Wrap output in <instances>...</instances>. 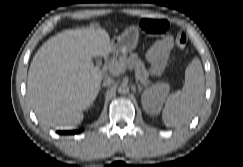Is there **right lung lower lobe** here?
Segmentation results:
<instances>
[{"label": "right lung lower lobe", "mask_w": 243, "mask_h": 167, "mask_svg": "<svg viewBox=\"0 0 243 167\" xmlns=\"http://www.w3.org/2000/svg\"><path fill=\"white\" fill-rule=\"evenodd\" d=\"M59 134H76L79 133V131L75 130V131H59Z\"/></svg>", "instance_id": "98d812e1"}]
</instances>
